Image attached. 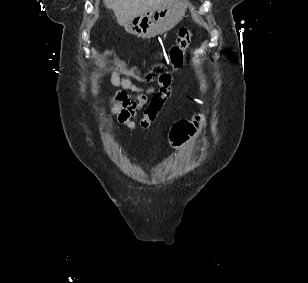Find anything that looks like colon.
Here are the masks:
<instances>
[{
  "instance_id": "obj_1",
  "label": "colon",
  "mask_w": 308,
  "mask_h": 283,
  "mask_svg": "<svg viewBox=\"0 0 308 283\" xmlns=\"http://www.w3.org/2000/svg\"><path fill=\"white\" fill-rule=\"evenodd\" d=\"M193 33L188 28H180L177 31L175 43L170 48L165 62L160 65L152 67V69L145 75L148 79H157L159 83L170 86L172 85V77L170 70L179 68L183 62L185 52L192 39ZM107 55L113 57L118 68L125 70L127 73L135 74L138 71L135 68H128L126 62L118 57L112 51H107ZM202 123V116L196 114L189 120H180L176 122L170 131V143L174 148H180L188 140L194 137L199 131Z\"/></svg>"
}]
</instances>
